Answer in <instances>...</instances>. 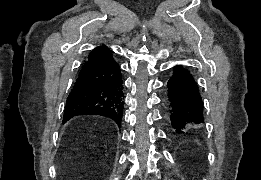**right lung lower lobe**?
<instances>
[{
	"label": "right lung lower lobe",
	"mask_w": 261,
	"mask_h": 180,
	"mask_svg": "<svg viewBox=\"0 0 261 180\" xmlns=\"http://www.w3.org/2000/svg\"><path fill=\"white\" fill-rule=\"evenodd\" d=\"M123 99V82L117 62L93 66L79 72L66 100L63 122L90 114L109 117L120 127Z\"/></svg>",
	"instance_id": "right-lung-lower-lobe-1"
}]
</instances>
